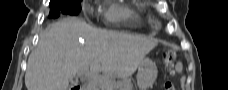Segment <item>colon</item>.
Returning a JSON list of instances; mask_svg holds the SVG:
<instances>
[{"label":"colon","mask_w":228,"mask_h":90,"mask_svg":"<svg viewBox=\"0 0 228 90\" xmlns=\"http://www.w3.org/2000/svg\"><path fill=\"white\" fill-rule=\"evenodd\" d=\"M174 59H175L174 53L172 51H167L164 54L163 62L165 64V66L171 67L173 65ZM164 89L165 90H174V86L171 82H166L164 85Z\"/></svg>","instance_id":"colon-1"}]
</instances>
